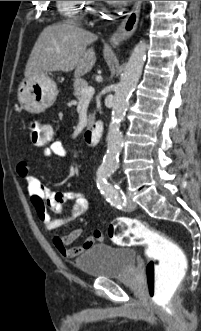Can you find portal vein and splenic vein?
<instances>
[{
    "mask_svg": "<svg viewBox=\"0 0 201 331\" xmlns=\"http://www.w3.org/2000/svg\"><path fill=\"white\" fill-rule=\"evenodd\" d=\"M94 88L92 86H86L82 90V99L91 98L94 95Z\"/></svg>",
    "mask_w": 201,
    "mask_h": 331,
    "instance_id": "portal-vein-and-splenic-vein-1",
    "label": "portal vein and splenic vein"
}]
</instances>
